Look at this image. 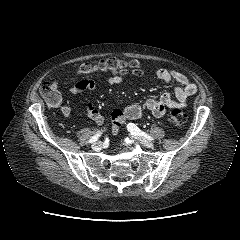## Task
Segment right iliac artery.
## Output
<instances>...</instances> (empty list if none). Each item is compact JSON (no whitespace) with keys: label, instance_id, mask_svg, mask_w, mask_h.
Segmentation results:
<instances>
[{"label":"right iliac artery","instance_id":"obj_1","mask_svg":"<svg viewBox=\"0 0 240 240\" xmlns=\"http://www.w3.org/2000/svg\"><path fill=\"white\" fill-rule=\"evenodd\" d=\"M101 136V132L98 131L94 136H92L89 140L90 143H93L98 140V138Z\"/></svg>","mask_w":240,"mask_h":240}]
</instances>
